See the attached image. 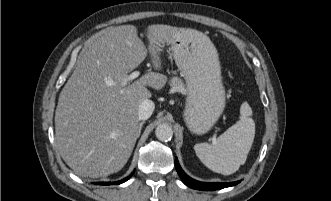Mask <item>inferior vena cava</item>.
<instances>
[{
  "instance_id": "602c4592",
  "label": "inferior vena cava",
  "mask_w": 331,
  "mask_h": 201,
  "mask_svg": "<svg viewBox=\"0 0 331 201\" xmlns=\"http://www.w3.org/2000/svg\"><path fill=\"white\" fill-rule=\"evenodd\" d=\"M155 105L151 100H144L139 106L138 117L140 120H147L153 113Z\"/></svg>"
}]
</instances>
